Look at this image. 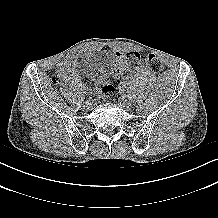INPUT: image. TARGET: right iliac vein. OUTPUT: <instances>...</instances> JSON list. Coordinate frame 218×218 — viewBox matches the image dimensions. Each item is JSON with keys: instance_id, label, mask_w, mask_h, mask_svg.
I'll list each match as a JSON object with an SVG mask.
<instances>
[{"instance_id": "obj_1", "label": "right iliac vein", "mask_w": 218, "mask_h": 218, "mask_svg": "<svg viewBox=\"0 0 218 218\" xmlns=\"http://www.w3.org/2000/svg\"><path fill=\"white\" fill-rule=\"evenodd\" d=\"M93 106V101L92 100H86L84 103H83V110L85 111H88L92 108Z\"/></svg>"}]
</instances>
